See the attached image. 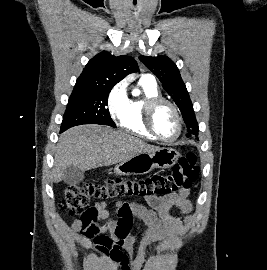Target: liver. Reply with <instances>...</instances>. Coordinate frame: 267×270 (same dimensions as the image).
I'll use <instances>...</instances> for the list:
<instances>
[{
    "instance_id": "obj_1",
    "label": "liver",
    "mask_w": 267,
    "mask_h": 270,
    "mask_svg": "<svg viewBox=\"0 0 267 270\" xmlns=\"http://www.w3.org/2000/svg\"><path fill=\"white\" fill-rule=\"evenodd\" d=\"M156 149L157 146L109 126L90 124L73 127L59 138L52 179L55 183L60 182L69 166H76L84 172L102 165L121 163Z\"/></svg>"
}]
</instances>
